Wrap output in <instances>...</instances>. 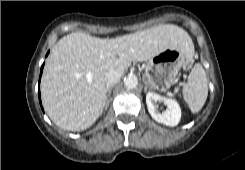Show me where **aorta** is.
Returning a JSON list of instances; mask_svg holds the SVG:
<instances>
[{
    "mask_svg": "<svg viewBox=\"0 0 245 170\" xmlns=\"http://www.w3.org/2000/svg\"><path fill=\"white\" fill-rule=\"evenodd\" d=\"M124 85L128 89H134L138 85V79L134 75H129L127 78L124 80Z\"/></svg>",
    "mask_w": 245,
    "mask_h": 170,
    "instance_id": "aorta-1",
    "label": "aorta"
}]
</instances>
